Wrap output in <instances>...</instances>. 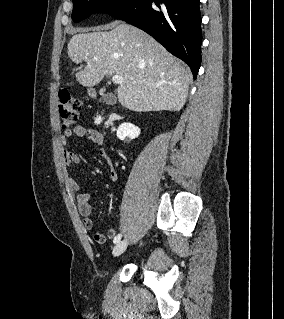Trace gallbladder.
Returning a JSON list of instances; mask_svg holds the SVG:
<instances>
[{"label": "gallbladder", "mask_w": 284, "mask_h": 319, "mask_svg": "<svg viewBox=\"0 0 284 319\" xmlns=\"http://www.w3.org/2000/svg\"><path fill=\"white\" fill-rule=\"evenodd\" d=\"M102 99L106 103H113L115 101V98L112 94L110 93H103L102 94Z\"/></svg>", "instance_id": "gallbladder-1"}]
</instances>
